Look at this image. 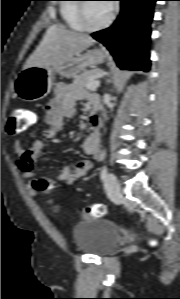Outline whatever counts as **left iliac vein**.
<instances>
[{"mask_svg": "<svg viewBox=\"0 0 180 299\" xmlns=\"http://www.w3.org/2000/svg\"><path fill=\"white\" fill-rule=\"evenodd\" d=\"M106 185L107 189L110 193V195L114 198L117 199L121 195V188L120 184L117 180V178L112 174H108L107 179H106Z\"/></svg>", "mask_w": 180, "mask_h": 299, "instance_id": "obj_1", "label": "left iliac vein"}]
</instances>
